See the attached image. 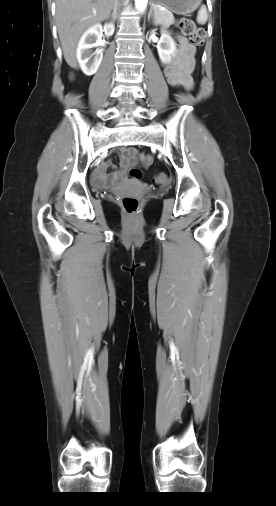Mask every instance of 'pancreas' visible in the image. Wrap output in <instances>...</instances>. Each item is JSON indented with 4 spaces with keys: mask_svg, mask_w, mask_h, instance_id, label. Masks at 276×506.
Masks as SVG:
<instances>
[{
    "mask_svg": "<svg viewBox=\"0 0 276 506\" xmlns=\"http://www.w3.org/2000/svg\"><path fill=\"white\" fill-rule=\"evenodd\" d=\"M154 10H155V18L158 24L164 27H169L174 23V16L171 12L167 10H162L160 8H154Z\"/></svg>",
    "mask_w": 276,
    "mask_h": 506,
    "instance_id": "pancreas-1",
    "label": "pancreas"
}]
</instances>
